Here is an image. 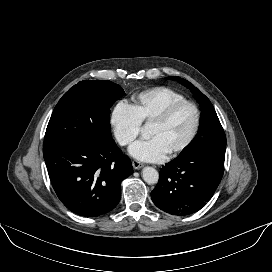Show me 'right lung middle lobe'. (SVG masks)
<instances>
[{
	"label": "right lung middle lobe",
	"instance_id": "1",
	"mask_svg": "<svg viewBox=\"0 0 272 272\" xmlns=\"http://www.w3.org/2000/svg\"><path fill=\"white\" fill-rule=\"evenodd\" d=\"M123 95L122 87L108 80H84L74 85L54 108L43 153L74 139H91L98 144L112 141L110 108Z\"/></svg>",
	"mask_w": 272,
	"mask_h": 272
}]
</instances>
